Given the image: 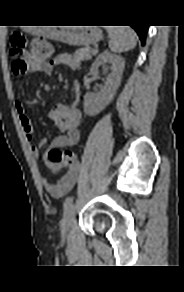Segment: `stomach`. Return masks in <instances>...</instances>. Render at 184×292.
Segmentation results:
<instances>
[{
  "label": "stomach",
  "mask_w": 184,
  "mask_h": 292,
  "mask_svg": "<svg viewBox=\"0 0 184 292\" xmlns=\"http://www.w3.org/2000/svg\"><path fill=\"white\" fill-rule=\"evenodd\" d=\"M46 36L74 46H88L97 43L103 37L101 30L97 27H61L49 31Z\"/></svg>",
  "instance_id": "stomach-1"
}]
</instances>
